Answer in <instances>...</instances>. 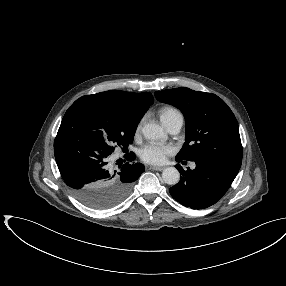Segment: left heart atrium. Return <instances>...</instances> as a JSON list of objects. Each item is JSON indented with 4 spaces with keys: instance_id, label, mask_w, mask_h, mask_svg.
Segmentation results:
<instances>
[{
    "instance_id": "obj_1",
    "label": "left heart atrium",
    "mask_w": 286,
    "mask_h": 286,
    "mask_svg": "<svg viewBox=\"0 0 286 286\" xmlns=\"http://www.w3.org/2000/svg\"><path fill=\"white\" fill-rule=\"evenodd\" d=\"M172 145L151 142L146 144L140 153L142 160L149 164L159 165L166 162L169 155L174 152Z\"/></svg>"
}]
</instances>
